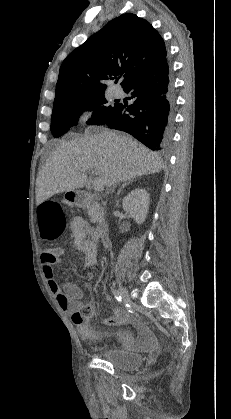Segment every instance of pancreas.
I'll use <instances>...</instances> for the list:
<instances>
[{
	"label": "pancreas",
	"instance_id": "cf45deb5",
	"mask_svg": "<svg viewBox=\"0 0 231 419\" xmlns=\"http://www.w3.org/2000/svg\"><path fill=\"white\" fill-rule=\"evenodd\" d=\"M91 223H96L103 214V209L95 202H90L87 208Z\"/></svg>",
	"mask_w": 231,
	"mask_h": 419
}]
</instances>
